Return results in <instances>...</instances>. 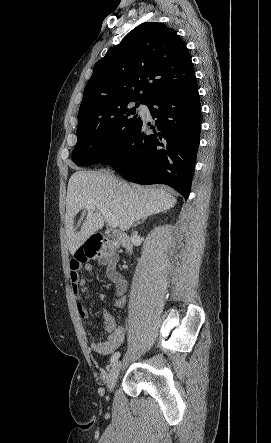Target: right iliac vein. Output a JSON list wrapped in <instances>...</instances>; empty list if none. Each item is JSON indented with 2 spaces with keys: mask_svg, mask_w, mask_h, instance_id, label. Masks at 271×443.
I'll list each match as a JSON object with an SVG mask.
<instances>
[{
  "mask_svg": "<svg viewBox=\"0 0 271 443\" xmlns=\"http://www.w3.org/2000/svg\"><path fill=\"white\" fill-rule=\"evenodd\" d=\"M120 372H121V362L118 361L113 365L107 380V387L109 391H112L114 389L117 379L120 375Z\"/></svg>",
  "mask_w": 271,
  "mask_h": 443,
  "instance_id": "63e3f726",
  "label": "right iliac vein"
}]
</instances>
